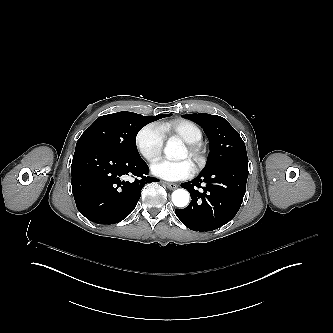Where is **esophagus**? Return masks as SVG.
<instances>
[{
  "label": "esophagus",
  "mask_w": 333,
  "mask_h": 333,
  "mask_svg": "<svg viewBox=\"0 0 333 333\" xmlns=\"http://www.w3.org/2000/svg\"><path fill=\"white\" fill-rule=\"evenodd\" d=\"M167 188H169L170 190H175L176 188H178L177 184L174 183H166Z\"/></svg>",
  "instance_id": "esophagus-1"
}]
</instances>
